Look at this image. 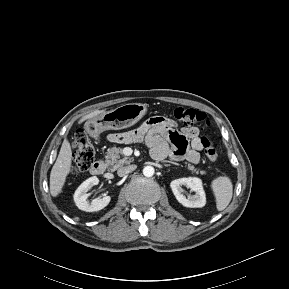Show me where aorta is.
<instances>
[{
    "instance_id": "aorta-1",
    "label": "aorta",
    "mask_w": 289,
    "mask_h": 289,
    "mask_svg": "<svg viewBox=\"0 0 289 289\" xmlns=\"http://www.w3.org/2000/svg\"><path fill=\"white\" fill-rule=\"evenodd\" d=\"M154 168L152 166H145L143 169V174L146 177H152L154 175Z\"/></svg>"
}]
</instances>
